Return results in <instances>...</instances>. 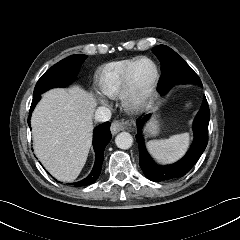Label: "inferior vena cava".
<instances>
[{
	"label": "inferior vena cava",
	"mask_w": 240,
	"mask_h": 240,
	"mask_svg": "<svg viewBox=\"0 0 240 240\" xmlns=\"http://www.w3.org/2000/svg\"><path fill=\"white\" fill-rule=\"evenodd\" d=\"M111 118V111L107 107H98L95 112V120L98 122H106Z\"/></svg>",
	"instance_id": "1"
}]
</instances>
